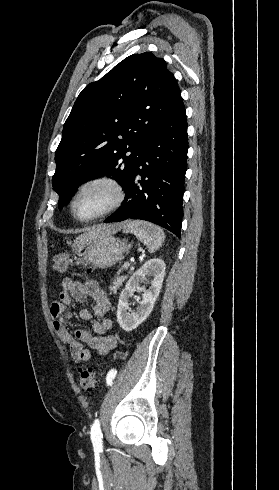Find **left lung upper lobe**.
Masks as SVG:
<instances>
[{
  "label": "left lung upper lobe",
  "mask_w": 279,
  "mask_h": 490,
  "mask_svg": "<svg viewBox=\"0 0 279 490\" xmlns=\"http://www.w3.org/2000/svg\"><path fill=\"white\" fill-rule=\"evenodd\" d=\"M182 101L166 62L134 54L79 94L63 127L52 179L61 210L75 186L112 175L125 190L156 125Z\"/></svg>",
  "instance_id": "5c2ea615"
}]
</instances>
